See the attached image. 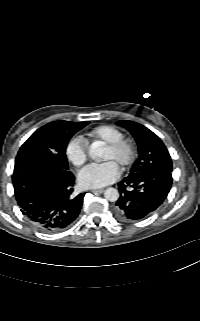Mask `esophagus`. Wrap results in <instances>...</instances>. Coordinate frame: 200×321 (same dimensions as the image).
<instances>
[{"instance_id": "1", "label": "esophagus", "mask_w": 200, "mask_h": 321, "mask_svg": "<svg viewBox=\"0 0 200 321\" xmlns=\"http://www.w3.org/2000/svg\"><path fill=\"white\" fill-rule=\"evenodd\" d=\"M92 192L93 193H102V192H104V189H93Z\"/></svg>"}]
</instances>
